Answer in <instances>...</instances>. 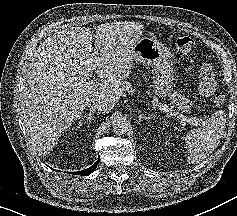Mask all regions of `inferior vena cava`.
Returning a JSON list of instances; mask_svg holds the SVG:
<instances>
[{
	"mask_svg": "<svg viewBox=\"0 0 237 216\" xmlns=\"http://www.w3.org/2000/svg\"><path fill=\"white\" fill-rule=\"evenodd\" d=\"M86 106L101 112L111 113L114 108V103H110L105 94H99L97 97L90 99Z\"/></svg>",
	"mask_w": 237,
	"mask_h": 216,
	"instance_id": "1",
	"label": "inferior vena cava"
}]
</instances>
